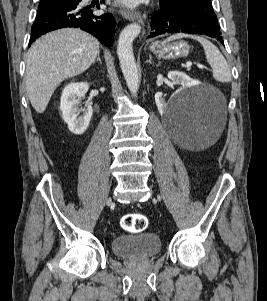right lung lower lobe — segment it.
Listing matches in <instances>:
<instances>
[{
	"label": "right lung lower lobe",
	"mask_w": 267,
	"mask_h": 301,
	"mask_svg": "<svg viewBox=\"0 0 267 301\" xmlns=\"http://www.w3.org/2000/svg\"><path fill=\"white\" fill-rule=\"evenodd\" d=\"M82 0H68L60 5L38 12L31 29L29 46L41 35L64 27H78L91 33L108 47L112 46L116 21L110 13L99 14L92 6H83ZM103 1V0H102Z\"/></svg>",
	"instance_id": "1"
}]
</instances>
